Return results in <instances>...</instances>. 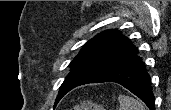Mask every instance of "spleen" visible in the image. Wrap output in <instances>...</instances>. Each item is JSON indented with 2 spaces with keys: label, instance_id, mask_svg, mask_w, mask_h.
Returning <instances> with one entry per match:
<instances>
[{
  "label": "spleen",
  "instance_id": "obj_1",
  "mask_svg": "<svg viewBox=\"0 0 171 110\" xmlns=\"http://www.w3.org/2000/svg\"><path fill=\"white\" fill-rule=\"evenodd\" d=\"M119 110H145V106L140 100L128 95H119Z\"/></svg>",
  "mask_w": 171,
  "mask_h": 110
}]
</instances>
